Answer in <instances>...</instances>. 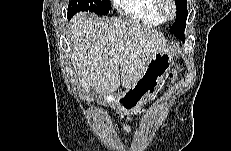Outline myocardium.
<instances>
[{
	"label": "myocardium",
	"mask_w": 231,
	"mask_h": 151,
	"mask_svg": "<svg viewBox=\"0 0 231 151\" xmlns=\"http://www.w3.org/2000/svg\"><path fill=\"white\" fill-rule=\"evenodd\" d=\"M157 12L163 20L173 19L177 13L175 1L157 0Z\"/></svg>",
	"instance_id": "f54148a6"
}]
</instances>
